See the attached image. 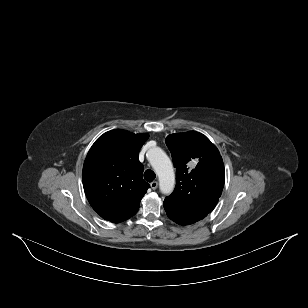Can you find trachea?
Returning a JSON list of instances; mask_svg holds the SVG:
<instances>
[{
	"mask_svg": "<svg viewBox=\"0 0 308 308\" xmlns=\"http://www.w3.org/2000/svg\"><path fill=\"white\" fill-rule=\"evenodd\" d=\"M155 177H156L155 173L150 169L146 170L144 173V179L147 182H152L155 179Z\"/></svg>",
	"mask_w": 308,
	"mask_h": 308,
	"instance_id": "obj_1",
	"label": "trachea"
}]
</instances>
